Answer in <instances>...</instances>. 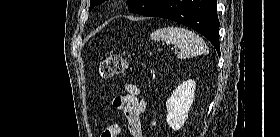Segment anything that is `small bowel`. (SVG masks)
Segmentation results:
<instances>
[{
	"mask_svg": "<svg viewBox=\"0 0 280 137\" xmlns=\"http://www.w3.org/2000/svg\"><path fill=\"white\" fill-rule=\"evenodd\" d=\"M127 93L113 98V106L122 114L132 137H143L144 126L141 114L145 110V101L141 97V90L135 84L126 85ZM118 128V124L110 125L107 130Z\"/></svg>",
	"mask_w": 280,
	"mask_h": 137,
	"instance_id": "1",
	"label": "small bowel"
}]
</instances>
